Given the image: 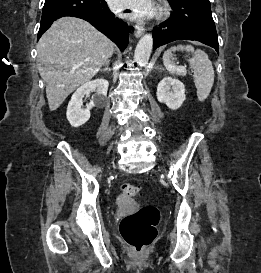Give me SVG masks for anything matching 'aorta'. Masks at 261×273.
<instances>
[{
  "label": "aorta",
  "instance_id": "obj_1",
  "mask_svg": "<svg viewBox=\"0 0 261 273\" xmlns=\"http://www.w3.org/2000/svg\"><path fill=\"white\" fill-rule=\"evenodd\" d=\"M153 47V37L151 34H145L138 42L135 52L134 61L140 65H146L149 61Z\"/></svg>",
  "mask_w": 261,
  "mask_h": 273
}]
</instances>
